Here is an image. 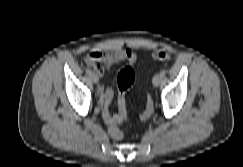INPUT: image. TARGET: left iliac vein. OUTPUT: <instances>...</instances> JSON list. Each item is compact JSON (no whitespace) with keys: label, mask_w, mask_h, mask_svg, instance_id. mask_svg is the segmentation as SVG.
Listing matches in <instances>:
<instances>
[{"label":"left iliac vein","mask_w":243,"mask_h":167,"mask_svg":"<svg viewBox=\"0 0 243 167\" xmlns=\"http://www.w3.org/2000/svg\"><path fill=\"white\" fill-rule=\"evenodd\" d=\"M162 79H163V77H162L160 74H156V75L153 77V80H152L153 85H154V86H158V85L161 83Z\"/></svg>","instance_id":"4c4485c4"}]
</instances>
